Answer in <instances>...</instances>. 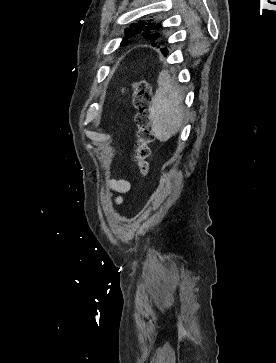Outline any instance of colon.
Wrapping results in <instances>:
<instances>
[{"label": "colon", "instance_id": "colon-1", "mask_svg": "<svg viewBox=\"0 0 276 363\" xmlns=\"http://www.w3.org/2000/svg\"><path fill=\"white\" fill-rule=\"evenodd\" d=\"M134 107L137 110L135 123L138 127L137 141L133 152V160L140 173L148 172V158L150 156V144L154 140L151 118L152 91L145 80L136 81L133 86Z\"/></svg>", "mask_w": 276, "mask_h": 363}]
</instances>
